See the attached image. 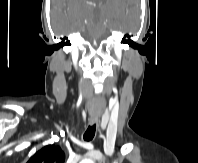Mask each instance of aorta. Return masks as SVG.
Returning a JSON list of instances; mask_svg holds the SVG:
<instances>
[{
  "label": "aorta",
  "mask_w": 198,
  "mask_h": 163,
  "mask_svg": "<svg viewBox=\"0 0 198 163\" xmlns=\"http://www.w3.org/2000/svg\"><path fill=\"white\" fill-rule=\"evenodd\" d=\"M80 163H94V161L91 159H84V160H81Z\"/></svg>",
  "instance_id": "aorta-1"
}]
</instances>
